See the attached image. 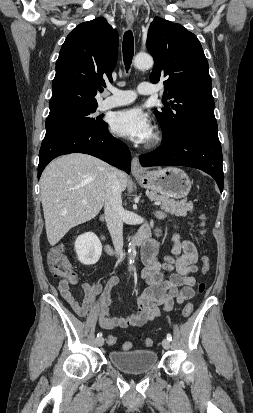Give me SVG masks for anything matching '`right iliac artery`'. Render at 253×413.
<instances>
[{"label": "right iliac artery", "mask_w": 253, "mask_h": 413, "mask_svg": "<svg viewBox=\"0 0 253 413\" xmlns=\"http://www.w3.org/2000/svg\"><path fill=\"white\" fill-rule=\"evenodd\" d=\"M101 336H102V333L99 332V333L97 334V337H101Z\"/></svg>", "instance_id": "1"}]
</instances>
